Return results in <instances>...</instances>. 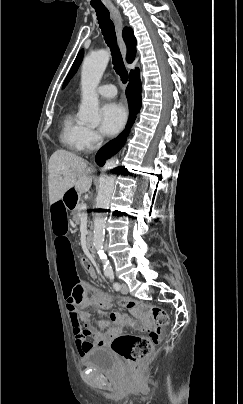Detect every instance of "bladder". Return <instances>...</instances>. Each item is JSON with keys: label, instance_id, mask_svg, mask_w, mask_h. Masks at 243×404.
<instances>
[{"label": "bladder", "instance_id": "bladder-1", "mask_svg": "<svg viewBox=\"0 0 243 404\" xmlns=\"http://www.w3.org/2000/svg\"><path fill=\"white\" fill-rule=\"evenodd\" d=\"M82 364L105 374H115L119 371V362L114 352L107 347H94L81 358Z\"/></svg>", "mask_w": 243, "mask_h": 404}]
</instances>
